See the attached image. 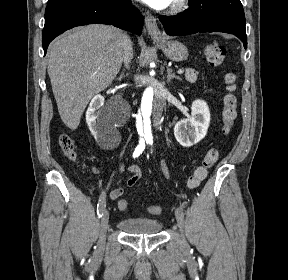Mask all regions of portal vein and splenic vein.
<instances>
[{
  "label": "portal vein and splenic vein",
  "instance_id": "18ae733b",
  "mask_svg": "<svg viewBox=\"0 0 288 280\" xmlns=\"http://www.w3.org/2000/svg\"><path fill=\"white\" fill-rule=\"evenodd\" d=\"M183 72H184L183 69H179V70L177 71L178 74H182Z\"/></svg>",
  "mask_w": 288,
  "mask_h": 280
}]
</instances>
